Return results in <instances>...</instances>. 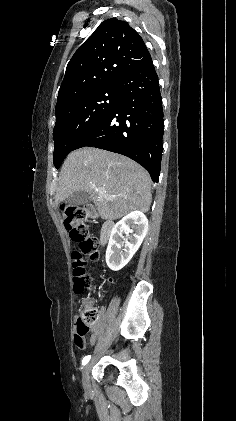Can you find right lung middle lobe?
Wrapping results in <instances>:
<instances>
[{
    "mask_svg": "<svg viewBox=\"0 0 236 421\" xmlns=\"http://www.w3.org/2000/svg\"><path fill=\"white\" fill-rule=\"evenodd\" d=\"M118 98V88L111 87L74 97L56 108L53 161L57 169L76 144L113 110Z\"/></svg>",
    "mask_w": 236,
    "mask_h": 421,
    "instance_id": "dd1d6c3e",
    "label": "right lung middle lobe"
}]
</instances>
